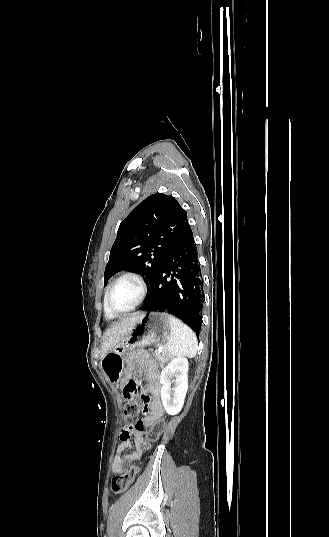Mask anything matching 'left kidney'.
<instances>
[{"instance_id": "1", "label": "left kidney", "mask_w": 329, "mask_h": 537, "mask_svg": "<svg viewBox=\"0 0 329 537\" xmlns=\"http://www.w3.org/2000/svg\"><path fill=\"white\" fill-rule=\"evenodd\" d=\"M188 366L189 363L185 357H176L162 369L160 395L163 407L169 415L178 414L183 407L188 389Z\"/></svg>"}]
</instances>
